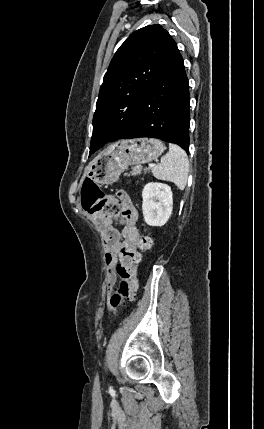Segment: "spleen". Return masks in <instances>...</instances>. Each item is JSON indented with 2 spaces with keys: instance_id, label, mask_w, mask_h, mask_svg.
<instances>
[{
  "instance_id": "obj_1",
  "label": "spleen",
  "mask_w": 264,
  "mask_h": 429,
  "mask_svg": "<svg viewBox=\"0 0 264 429\" xmlns=\"http://www.w3.org/2000/svg\"><path fill=\"white\" fill-rule=\"evenodd\" d=\"M188 172L187 154L173 143H169V152L161 158V164L152 169L155 178L173 182L180 190H184L187 184Z\"/></svg>"
}]
</instances>
